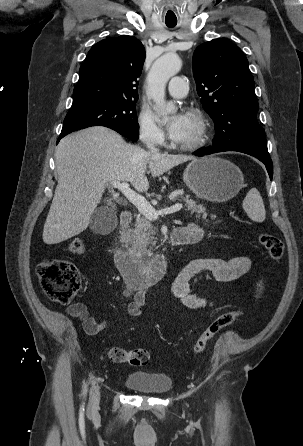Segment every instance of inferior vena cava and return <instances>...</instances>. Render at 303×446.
<instances>
[{"mask_svg": "<svg viewBox=\"0 0 303 446\" xmlns=\"http://www.w3.org/2000/svg\"><path fill=\"white\" fill-rule=\"evenodd\" d=\"M148 148L150 149V152L152 154H158V152H159V150L152 145H148Z\"/></svg>", "mask_w": 303, "mask_h": 446, "instance_id": "inferior-vena-cava-1", "label": "inferior vena cava"}]
</instances>
